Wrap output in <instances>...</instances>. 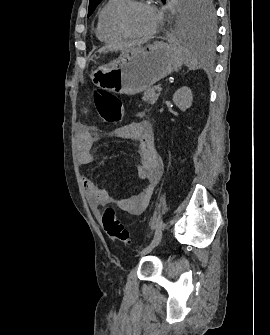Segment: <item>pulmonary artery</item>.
Instances as JSON below:
<instances>
[{
  "label": "pulmonary artery",
  "mask_w": 270,
  "mask_h": 335,
  "mask_svg": "<svg viewBox=\"0 0 270 335\" xmlns=\"http://www.w3.org/2000/svg\"><path fill=\"white\" fill-rule=\"evenodd\" d=\"M123 1H127V2H129L130 0H123Z\"/></svg>",
  "instance_id": "obj_1"
}]
</instances>
